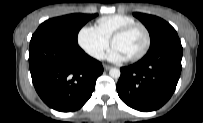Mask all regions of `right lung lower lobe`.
<instances>
[{"label": "right lung lower lobe", "mask_w": 203, "mask_h": 123, "mask_svg": "<svg viewBox=\"0 0 203 123\" xmlns=\"http://www.w3.org/2000/svg\"><path fill=\"white\" fill-rule=\"evenodd\" d=\"M29 67L40 98L52 109L72 112L91 97L102 64L79 46L30 41Z\"/></svg>", "instance_id": "1"}]
</instances>
